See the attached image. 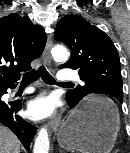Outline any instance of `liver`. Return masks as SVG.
I'll return each mask as SVG.
<instances>
[{"mask_svg":"<svg viewBox=\"0 0 130 153\" xmlns=\"http://www.w3.org/2000/svg\"><path fill=\"white\" fill-rule=\"evenodd\" d=\"M0 153H20V141L2 125H0Z\"/></svg>","mask_w":130,"mask_h":153,"instance_id":"liver-1","label":"liver"}]
</instances>
